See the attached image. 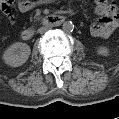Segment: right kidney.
I'll use <instances>...</instances> for the list:
<instances>
[{
  "mask_svg": "<svg viewBox=\"0 0 119 119\" xmlns=\"http://www.w3.org/2000/svg\"><path fill=\"white\" fill-rule=\"evenodd\" d=\"M31 49L29 45L22 42H16L12 44L3 54L4 62L12 67H18L23 65L29 55Z\"/></svg>",
  "mask_w": 119,
  "mask_h": 119,
  "instance_id": "ca27d5eb",
  "label": "right kidney"
}]
</instances>
